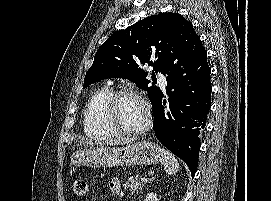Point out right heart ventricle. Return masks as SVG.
Returning <instances> with one entry per match:
<instances>
[{
    "mask_svg": "<svg viewBox=\"0 0 271 201\" xmlns=\"http://www.w3.org/2000/svg\"><path fill=\"white\" fill-rule=\"evenodd\" d=\"M112 93L111 88L103 87L97 90L87 103L83 114L84 131L87 136L100 140H109L118 136L104 113L106 102Z\"/></svg>",
    "mask_w": 271,
    "mask_h": 201,
    "instance_id": "e07e8e85",
    "label": "right heart ventricle"
}]
</instances>
